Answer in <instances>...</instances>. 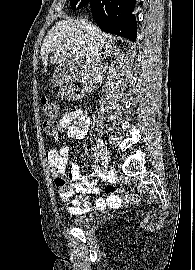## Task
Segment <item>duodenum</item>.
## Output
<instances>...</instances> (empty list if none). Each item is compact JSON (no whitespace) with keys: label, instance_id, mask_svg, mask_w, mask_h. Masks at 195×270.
<instances>
[{"label":"duodenum","instance_id":"1","mask_svg":"<svg viewBox=\"0 0 195 270\" xmlns=\"http://www.w3.org/2000/svg\"><path fill=\"white\" fill-rule=\"evenodd\" d=\"M81 76L85 85L86 92L92 91L94 86V76L92 72L88 69H84L82 70Z\"/></svg>","mask_w":195,"mask_h":270}]
</instances>
